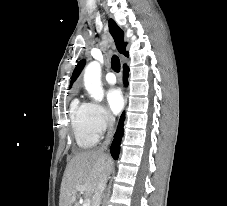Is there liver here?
<instances>
[{
  "mask_svg": "<svg viewBox=\"0 0 227 206\" xmlns=\"http://www.w3.org/2000/svg\"><path fill=\"white\" fill-rule=\"evenodd\" d=\"M112 159L99 150L84 151L76 154L67 164L60 189L59 206H79V192L91 196L103 178L112 170ZM78 186H84L79 191Z\"/></svg>",
  "mask_w": 227,
  "mask_h": 206,
  "instance_id": "6515ba94",
  "label": "liver"
}]
</instances>
